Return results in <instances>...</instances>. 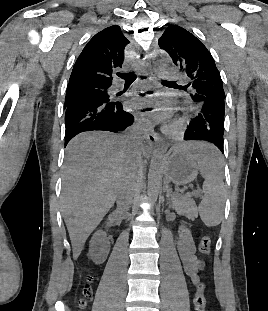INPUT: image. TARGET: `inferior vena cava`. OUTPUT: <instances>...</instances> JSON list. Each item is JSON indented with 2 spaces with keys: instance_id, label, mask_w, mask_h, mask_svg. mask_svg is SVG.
I'll list each match as a JSON object with an SVG mask.
<instances>
[{
  "instance_id": "1",
  "label": "inferior vena cava",
  "mask_w": 268,
  "mask_h": 311,
  "mask_svg": "<svg viewBox=\"0 0 268 311\" xmlns=\"http://www.w3.org/2000/svg\"><path fill=\"white\" fill-rule=\"evenodd\" d=\"M128 143L132 146L131 152L134 155V161L127 173L126 178L121 184L119 196H118V208L121 214L126 215L131 206L133 196L135 194L136 182H135V173L137 170V162L135 160L136 147H134V142L127 137Z\"/></svg>"
}]
</instances>
